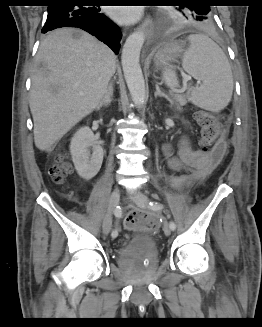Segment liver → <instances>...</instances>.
<instances>
[{
  "instance_id": "liver-1",
  "label": "liver",
  "mask_w": 262,
  "mask_h": 327,
  "mask_svg": "<svg viewBox=\"0 0 262 327\" xmlns=\"http://www.w3.org/2000/svg\"><path fill=\"white\" fill-rule=\"evenodd\" d=\"M116 70L109 47L79 29L62 28L41 42L32 75L34 142L50 151L98 107Z\"/></svg>"
}]
</instances>
